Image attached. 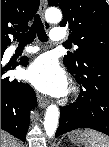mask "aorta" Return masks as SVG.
<instances>
[{
  "label": "aorta",
  "mask_w": 109,
  "mask_h": 147,
  "mask_svg": "<svg viewBox=\"0 0 109 147\" xmlns=\"http://www.w3.org/2000/svg\"><path fill=\"white\" fill-rule=\"evenodd\" d=\"M45 18L49 22H60L62 20V13L56 7H50L45 12ZM59 120V109L56 105L48 106L44 118V129L49 137H52L57 129Z\"/></svg>",
  "instance_id": "1"
}]
</instances>
